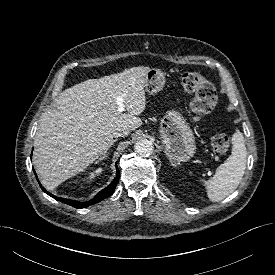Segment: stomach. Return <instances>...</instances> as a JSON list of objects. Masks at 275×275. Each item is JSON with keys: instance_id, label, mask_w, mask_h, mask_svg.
<instances>
[{"instance_id": "1", "label": "stomach", "mask_w": 275, "mask_h": 275, "mask_svg": "<svg viewBox=\"0 0 275 275\" xmlns=\"http://www.w3.org/2000/svg\"><path fill=\"white\" fill-rule=\"evenodd\" d=\"M165 74L157 68L149 69L145 89L150 94L161 91L165 85ZM160 137L168 159L180 164L189 161L196 152L195 137L184 117L175 110L168 111L160 122Z\"/></svg>"}]
</instances>
